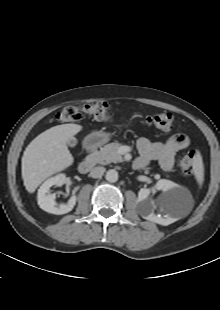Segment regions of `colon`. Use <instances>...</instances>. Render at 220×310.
<instances>
[{"mask_svg": "<svg viewBox=\"0 0 220 310\" xmlns=\"http://www.w3.org/2000/svg\"><path fill=\"white\" fill-rule=\"evenodd\" d=\"M85 115L107 121L111 118V107L105 101H94L82 106H68L58 114V119L62 122H75L81 120ZM143 122L148 126L168 131L173 127L174 118L171 113H156L147 116ZM196 164L197 153L189 151L180 159L179 168L184 174H191Z\"/></svg>", "mask_w": 220, "mask_h": 310, "instance_id": "5ec220e1", "label": "colon"}]
</instances>
